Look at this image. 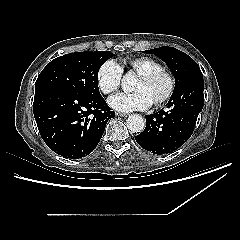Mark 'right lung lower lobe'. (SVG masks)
Segmentation results:
<instances>
[{
	"instance_id": "right-lung-lower-lobe-1",
	"label": "right lung lower lobe",
	"mask_w": 240,
	"mask_h": 240,
	"mask_svg": "<svg viewBox=\"0 0 240 240\" xmlns=\"http://www.w3.org/2000/svg\"><path fill=\"white\" fill-rule=\"evenodd\" d=\"M33 112L47 146L71 159L90 154L115 116L100 94L88 96L61 87L35 88Z\"/></svg>"
}]
</instances>
